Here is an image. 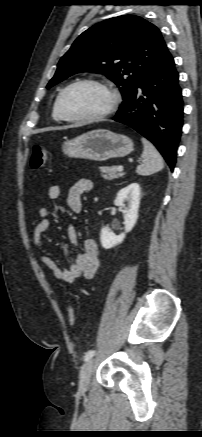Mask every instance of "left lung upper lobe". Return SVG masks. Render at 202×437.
Wrapping results in <instances>:
<instances>
[{"instance_id":"obj_1","label":"left lung upper lobe","mask_w":202,"mask_h":437,"mask_svg":"<svg viewBox=\"0 0 202 437\" xmlns=\"http://www.w3.org/2000/svg\"><path fill=\"white\" fill-rule=\"evenodd\" d=\"M167 51L160 30L136 15H123L83 32L60 59L50 88L84 71L104 74L120 89L124 104Z\"/></svg>"}]
</instances>
